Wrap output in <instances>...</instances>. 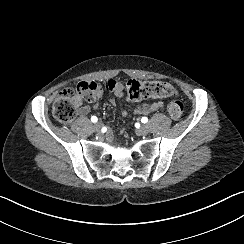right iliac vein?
<instances>
[{"mask_svg": "<svg viewBox=\"0 0 244 244\" xmlns=\"http://www.w3.org/2000/svg\"><path fill=\"white\" fill-rule=\"evenodd\" d=\"M93 126H94V130L96 132H100V129H101V126H102L100 121L95 122V124Z\"/></svg>", "mask_w": 244, "mask_h": 244, "instance_id": "63e3f726", "label": "right iliac vein"}]
</instances>
